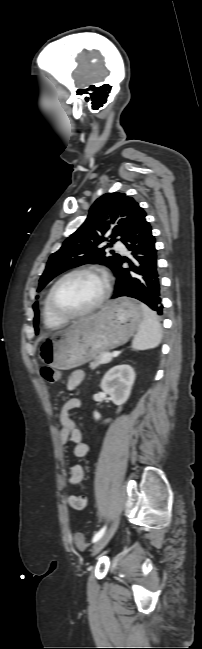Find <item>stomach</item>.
Masks as SVG:
<instances>
[{
    "label": "stomach",
    "mask_w": 202,
    "mask_h": 649,
    "mask_svg": "<svg viewBox=\"0 0 202 649\" xmlns=\"http://www.w3.org/2000/svg\"><path fill=\"white\" fill-rule=\"evenodd\" d=\"M141 306L127 298L110 302L97 315L45 338L39 348V359L50 367L68 370L126 343L142 323Z\"/></svg>",
    "instance_id": "stomach-1"
}]
</instances>
